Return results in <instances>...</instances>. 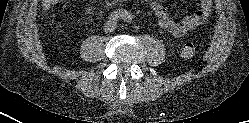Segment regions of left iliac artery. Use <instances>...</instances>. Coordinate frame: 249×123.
I'll list each match as a JSON object with an SVG mask.
<instances>
[{
    "instance_id": "44dca946",
    "label": "left iliac artery",
    "mask_w": 249,
    "mask_h": 123,
    "mask_svg": "<svg viewBox=\"0 0 249 123\" xmlns=\"http://www.w3.org/2000/svg\"><path fill=\"white\" fill-rule=\"evenodd\" d=\"M132 18H133L132 14L129 13V12H126L125 15H124V17H123V20L125 22H130L132 20Z\"/></svg>"
}]
</instances>
